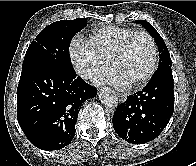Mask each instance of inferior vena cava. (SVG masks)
<instances>
[{
	"label": "inferior vena cava",
	"instance_id": "602c4592",
	"mask_svg": "<svg viewBox=\"0 0 196 166\" xmlns=\"http://www.w3.org/2000/svg\"><path fill=\"white\" fill-rule=\"evenodd\" d=\"M79 73L81 74V76L87 78L88 76V70L86 69H82L81 71H79Z\"/></svg>",
	"mask_w": 196,
	"mask_h": 166
}]
</instances>
